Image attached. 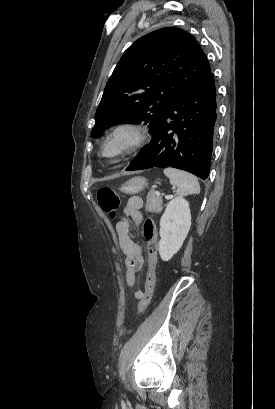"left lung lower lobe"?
<instances>
[{
  "label": "left lung lower lobe",
  "instance_id": "left-lung-lower-lobe-1",
  "mask_svg": "<svg viewBox=\"0 0 275 409\" xmlns=\"http://www.w3.org/2000/svg\"><path fill=\"white\" fill-rule=\"evenodd\" d=\"M216 119V87L211 71L180 95L160 121L150 143L126 170L173 167L207 179Z\"/></svg>",
  "mask_w": 275,
  "mask_h": 409
}]
</instances>
